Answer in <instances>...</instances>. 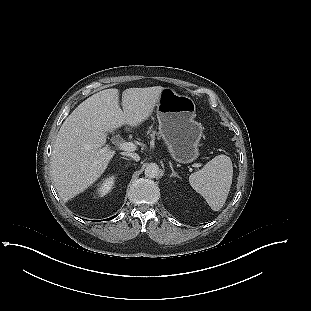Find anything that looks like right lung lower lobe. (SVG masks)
<instances>
[{"label": "right lung lower lobe", "mask_w": 311, "mask_h": 311, "mask_svg": "<svg viewBox=\"0 0 311 311\" xmlns=\"http://www.w3.org/2000/svg\"><path fill=\"white\" fill-rule=\"evenodd\" d=\"M116 216H113V217H111V218H109L108 220H111V219H113V218H115Z\"/></svg>", "instance_id": "obj_1"}]
</instances>
